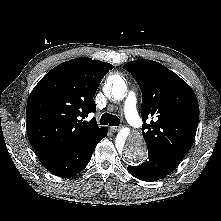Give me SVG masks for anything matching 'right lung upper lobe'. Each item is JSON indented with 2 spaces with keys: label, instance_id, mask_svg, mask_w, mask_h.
I'll return each instance as SVG.
<instances>
[{
  "label": "right lung upper lobe",
  "instance_id": "1",
  "mask_svg": "<svg viewBox=\"0 0 221 221\" xmlns=\"http://www.w3.org/2000/svg\"><path fill=\"white\" fill-rule=\"evenodd\" d=\"M114 66L82 57L49 71L31 92L26 108L28 138L40 161L54 157L105 129L96 119L93 97L105 74Z\"/></svg>",
  "mask_w": 221,
  "mask_h": 221
}]
</instances>
